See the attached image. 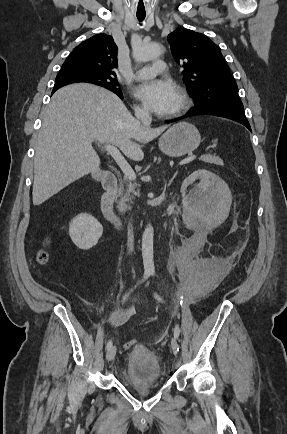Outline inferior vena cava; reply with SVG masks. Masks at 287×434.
I'll return each mask as SVG.
<instances>
[{"label":"inferior vena cava","instance_id":"inferior-vena-cava-1","mask_svg":"<svg viewBox=\"0 0 287 434\" xmlns=\"http://www.w3.org/2000/svg\"><path fill=\"white\" fill-rule=\"evenodd\" d=\"M135 116L137 117V119L140 120V122L144 126L149 127V125L151 124L152 118L146 109H136L135 110ZM127 247H128L129 253L133 252V250H134V234H133V227L131 224H129V226H128Z\"/></svg>","mask_w":287,"mask_h":434}]
</instances>
